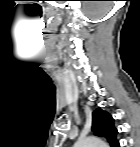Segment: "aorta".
Segmentation results:
<instances>
[{
	"mask_svg": "<svg viewBox=\"0 0 140 147\" xmlns=\"http://www.w3.org/2000/svg\"><path fill=\"white\" fill-rule=\"evenodd\" d=\"M107 144L99 138L87 137L79 139L76 143V147H105Z\"/></svg>",
	"mask_w": 140,
	"mask_h": 147,
	"instance_id": "obj_1",
	"label": "aorta"
}]
</instances>
